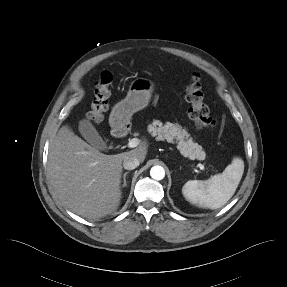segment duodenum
<instances>
[{
  "instance_id": "obj_1",
  "label": "duodenum",
  "mask_w": 287,
  "mask_h": 287,
  "mask_svg": "<svg viewBox=\"0 0 287 287\" xmlns=\"http://www.w3.org/2000/svg\"><path fill=\"white\" fill-rule=\"evenodd\" d=\"M122 116L123 114L119 113L115 122L113 123V133L116 138L123 137L128 130V124L124 121Z\"/></svg>"
}]
</instances>
